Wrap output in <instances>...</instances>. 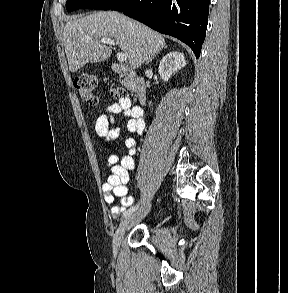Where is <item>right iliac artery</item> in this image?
<instances>
[{"mask_svg":"<svg viewBox=\"0 0 288 293\" xmlns=\"http://www.w3.org/2000/svg\"><path fill=\"white\" fill-rule=\"evenodd\" d=\"M137 207H138V205L137 206H134V207H131L130 209H128L127 211H125L123 213V217H126V216L132 214L137 209Z\"/></svg>","mask_w":288,"mask_h":293,"instance_id":"obj_1","label":"right iliac artery"}]
</instances>
